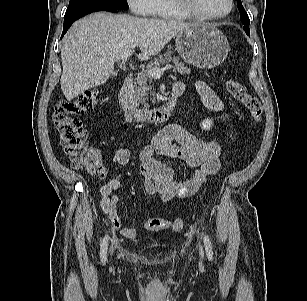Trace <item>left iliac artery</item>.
Instances as JSON below:
<instances>
[{"label":"left iliac artery","mask_w":307,"mask_h":301,"mask_svg":"<svg viewBox=\"0 0 307 301\" xmlns=\"http://www.w3.org/2000/svg\"><path fill=\"white\" fill-rule=\"evenodd\" d=\"M203 239H204V245H205L207 256L210 260H212L213 251H212L211 241H210L208 235H206V234H203Z\"/></svg>","instance_id":"left-iliac-artery-1"}]
</instances>
